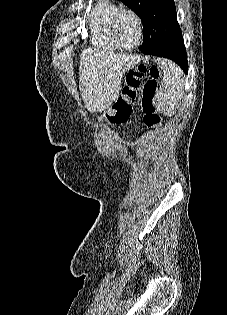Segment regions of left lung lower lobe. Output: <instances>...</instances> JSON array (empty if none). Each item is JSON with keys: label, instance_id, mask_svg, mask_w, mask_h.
Wrapping results in <instances>:
<instances>
[{"label": "left lung lower lobe", "instance_id": "1", "mask_svg": "<svg viewBox=\"0 0 227 315\" xmlns=\"http://www.w3.org/2000/svg\"><path fill=\"white\" fill-rule=\"evenodd\" d=\"M141 52L144 54L165 57L176 62L184 72H188V62L184 42L168 48H154L150 43L143 42Z\"/></svg>", "mask_w": 227, "mask_h": 315}]
</instances>
